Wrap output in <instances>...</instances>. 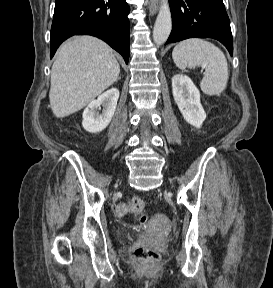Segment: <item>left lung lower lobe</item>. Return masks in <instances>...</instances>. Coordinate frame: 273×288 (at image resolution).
<instances>
[{"label": "left lung lower lobe", "mask_w": 273, "mask_h": 288, "mask_svg": "<svg viewBox=\"0 0 273 288\" xmlns=\"http://www.w3.org/2000/svg\"><path fill=\"white\" fill-rule=\"evenodd\" d=\"M172 31L168 43L187 38H213L233 53L230 20L222 0H169Z\"/></svg>", "instance_id": "0a47b994"}]
</instances>
